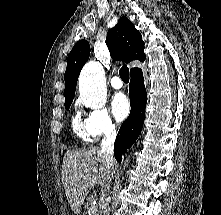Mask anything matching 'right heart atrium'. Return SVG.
I'll return each mask as SVG.
<instances>
[{
  "mask_svg": "<svg viewBox=\"0 0 221 215\" xmlns=\"http://www.w3.org/2000/svg\"><path fill=\"white\" fill-rule=\"evenodd\" d=\"M85 128L91 138L98 139L116 134L118 125L107 109L96 107L88 111Z\"/></svg>",
  "mask_w": 221,
  "mask_h": 215,
  "instance_id": "obj_1",
  "label": "right heart atrium"
}]
</instances>
